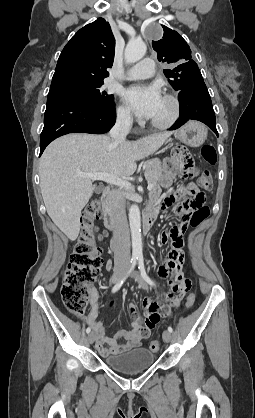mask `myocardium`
Here are the masks:
<instances>
[{
    "mask_svg": "<svg viewBox=\"0 0 255 418\" xmlns=\"http://www.w3.org/2000/svg\"><path fill=\"white\" fill-rule=\"evenodd\" d=\"M164 98L171 104V113L169 117L163 121L150 120L153 128L164 130L173 126L180 116L181 104L179 98L173 93H165Z\"/></svg>",
    "mask_w": 255,
    "mask_h": 418,
    "instance_id": "f54148a6",
    "label": "myocardium"
}]
</instances>
